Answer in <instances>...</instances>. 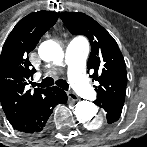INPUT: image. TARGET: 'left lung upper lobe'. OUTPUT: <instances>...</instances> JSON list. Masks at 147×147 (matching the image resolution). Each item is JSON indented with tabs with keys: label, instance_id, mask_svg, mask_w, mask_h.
Wrapping results in <instances>:
<instances>
[{
	"label": "left lung upper lobe",
	"instance_id": "1",
	"mask_svg": "<svg viewBox=\"0 0 147 147\" xmlns=\"http://www.w3.org/2000/svg\"><path fill=\"white\" fill-rule=\"evenodd\" d=\"M62 21L73 35L86 36L91 44L88 73L97 92L95 104L125 98L127 72L123 55L114 38L94 19L84 13L63 12Z\"/></svg>",
	"mask_w": 147,
	"mask_h": 147
}]
</instances>
